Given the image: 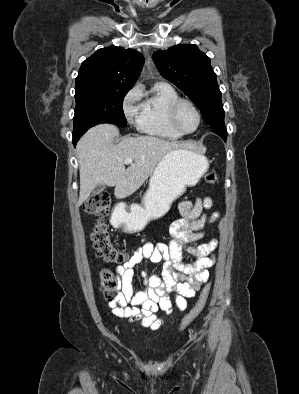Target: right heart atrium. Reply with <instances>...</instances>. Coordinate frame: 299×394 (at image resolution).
I'll return each instance as SVG.
<instances>
[{"instance_id":"d8ad5b80","label":"right heart atrium","mask_w":299,"mask_h":394,"mask_svg":"<svg viewBox=\"0 0 299 394\" xmlns=\"http://www.w3.org/2000/svg\"><path fill=\"white\" fill-rule=\"evenodd\" d=\"M142 88L140 85L134 86L126 95L123 103V110L127 120L134 123L138 119L141 109Z\"/></svg>"}]
</instances>
